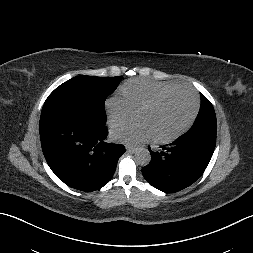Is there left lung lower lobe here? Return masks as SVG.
Listing matches in <instances>:
<instances>
[{"label": "left lung lower lobe", "mask_w": 253, "mask_h": 253, "mask_svg": "<svg viewBox=\"0 0 253 253\" xmlns=\"http://www.w3.org/2000/svg\"><path fill=\"white\" fill-rule=\"evenodd\" d=\"M215 145L198 137H179L161 152L150 150L151 161L143 167L144 178L163 192L180 191L193 184L205 171Z\"/></svg>", "instance_id": "0a47b994"}]
</instances>
